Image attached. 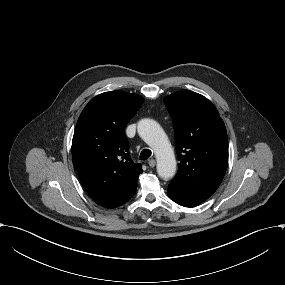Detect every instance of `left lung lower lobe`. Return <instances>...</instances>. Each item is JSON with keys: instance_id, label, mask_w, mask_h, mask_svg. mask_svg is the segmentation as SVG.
I'll list each match as a JSON object with an SVG mask.
<instances>
[{"instance_id": "0a47b994", "label": "left lung lower lobe", "mask_w": 285, "mask_h": 285, "mask_svg": "<svg viewBox=\"0 0 285 285\" xmlns=\"http://www.w3.org/2000/svg\"><path fill=\"white\" fill-rule=\"evenodd\" d=\"M167 194L171 200L185 207H195L202 202L182 194L171 186H168Z\"/></svg>"}]
</instances>
